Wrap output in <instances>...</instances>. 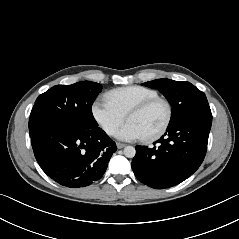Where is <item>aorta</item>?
Listing matches in <instances>:
<instances>
[{"mask_svg":"<svg viewBox=\"0 0 239 239\" xmlns=\"http://www.w3.org/2000/svg\"><path fill=\"white\" fill-rule=\"evenodd\" d=\"M123 152L127 158H133L136 154V150L133 146H126Z\"/></svg>","mask_w":239,"mask_h":239,"instance_id":"762f6f07","label":"aorta"}]
</instances>
